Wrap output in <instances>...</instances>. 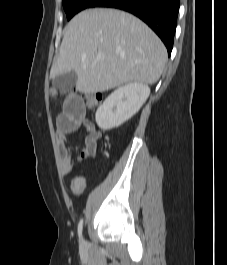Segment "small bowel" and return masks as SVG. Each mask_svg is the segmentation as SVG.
Here are the masks:
<instances>
[{"label": "small bowel", "instance_id": "c3829d8e", "mask_svg": "<svg viewBox=\"0 0 227 265\" xmlns=\"http://www.w3.org/2000/svg\"><path fill=\"white\" fill-rule=\"evenodd\" d=\"M62 99L63 112L57 118V140L62 157V169L65 175L71 173L76 161L94 158L97 154V143L101 132L96 129L93 122L86 118L87 105L84 96H79V91H64ZM80 127L86 131L85 147L74 158L72 151L66 146L69 135ZM87 179L84 175L75 176L70 183V188L75 196L85 190Z\"/></svg>", "mask_w": 227, "mask_h": 265}]
</instances>
